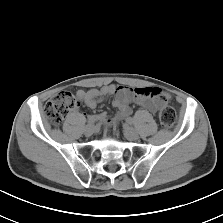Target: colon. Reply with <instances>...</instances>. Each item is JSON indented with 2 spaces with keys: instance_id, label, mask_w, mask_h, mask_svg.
Here are the masks:
<instances>
[{
  "instance_id": "obj_1",
  "label": "colon",
  "mask_w": 223,
  "mask_h": 223,
  "mask_svg": "<svg viewBox=\"0 0 223 223\" xmlns=\"http://www.w3.org/2000/svg\"><path fill=\"white\" fill-rule=\"evenodd\" d=\"M78 107V101L69 91H61L55 94L45 105L44 111L48 119L54 125H60L66 115ZM160 124L165 128H171L176 122V112L171 106H163L158 115Z\"/></svg>"
}]
</instances>
